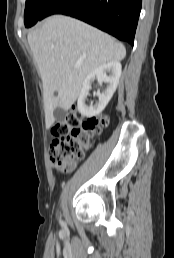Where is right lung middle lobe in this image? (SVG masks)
I'll return each mask as SVG.
<instances>
[{"label": "right lung middle lobe", "mask_w": 174, "mask_h": 258, "mask_svg": "<svg viewBox=\"0 0 174 258\" xmlns=\"http://www.w3.org/2000/svg\"><path fill=\"white\" fill-rule=\"evenodd\" d=\"M53 0H26L24 23L25 27L33 26L37 21L43 19L45 9Z\"/></svg>", "instance_id": "obj_1"}]
</instances>
